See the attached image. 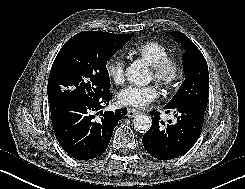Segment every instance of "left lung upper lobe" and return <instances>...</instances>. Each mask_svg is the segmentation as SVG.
Segmentation results:
<instances>
[{
	"instance_id": "1",
	"label": "left lung upper lobe",
	"mask_w": 245,
	"mask_h": 189,
	"mask_svg": "<svg viewBox=\"0 0 245 189\" xmlns=\"http://www.w3.org/2000/svg\"><path fill=\"white\" fill-rule=\"evenodd\" d=\"M171 34L185 49L183 68L186 78L167 105L177 107L196 104L206 109L209 95V73L206 60L185 34L181 32Z\"/></svg>"
}]
</instances>
